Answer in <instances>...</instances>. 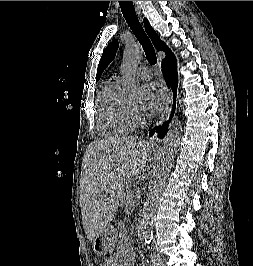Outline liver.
I'll return each instance as SVG.
<instances>
[{"mask_svg":"<svg viewBox=\"0 0 253 266\" xmlns=\"http://www.w3.org/2000/svg\"><path fill=\"white\" fill-rule=\"evenodd\" d=\"M154 145L137 137L93 141L82 162L81 213L90 243L117 214L125 187L144 171Z\"/></svg>","mask_w":253,"mask_h":266,"instance_id":"liver-1","label":"liver"}]
</instances>
